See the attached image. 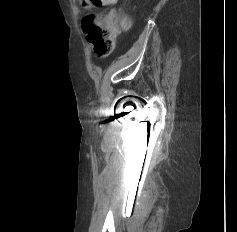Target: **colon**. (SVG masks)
<instances>
[{
  "label": "colon",
  "instance_id": "5ec220e1",
  "mask_svg": "<svg viewBox=\"0 0 237 232\" xmlns=\"http://www.w3.org/2000/svg\"><path fill=\"white\" fill-rule=\"evenodd\" d=\"M86 9L82 16V26L87 40L93 45L94 52L105 57L110 55L116 43V37L121 29L128 28L131 19L120 11L113 10L107 15H98L93 11L96 6L111 5L116 0H80Z\"/></svg>",
  "mask_w": 237,
  "mask_h": 232
}]
</instances>
